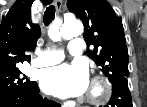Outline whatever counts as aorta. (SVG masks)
Here are the masks:
<instances>
[{"label": "aorta", "mask_w": 147, "mask_h": 107, "mask_svg": "<svg viewBox=\"0 0 147 107\" xmlns=\"http://www.w3.org/2000/svg\"><path fill=\"white\" fill-rule=\"evenodd\" d=\"M83 33V25L80 21L69 18L60 27L59 34L64 39L80 36Z\"/></svg>", "instance_id": "1"}]
</instances>
